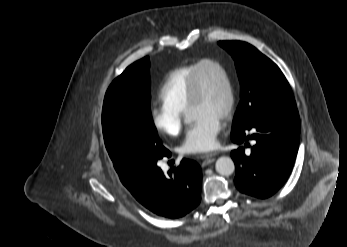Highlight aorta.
<instances>
[{"label": "aorta", "mask_w": 347, "mask_h": 247, "mask_svg": "<svg viewBox=\"0 0 347 247\" xmlns=\"http://www.w3.org/2000/svg\"><path fill=\"white\" fill-rule=\"evenodd\" d=\"M184 122L190 123L191 122L190 116L186 115L184 118ZM215 168L219 174L224 176H229L234 172L235 164L230 157L222 156L217 159Z\"/></svg>", "instance_id": "762f6f07"}]
</instances>
